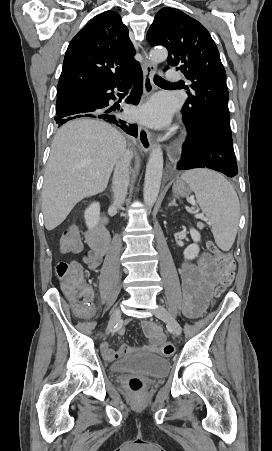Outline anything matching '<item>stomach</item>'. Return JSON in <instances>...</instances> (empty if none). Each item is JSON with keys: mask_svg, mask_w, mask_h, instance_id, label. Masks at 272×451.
Returning a JSON list of instances; mask_svg holds the SVG:
<instances>
[{"mask_svg": "<svg viewBox=\"0 0 272 451\" xmlns=\"http://www.w3.org/2000/svg\"><path fill=\"white\" fill-rule=\"evenodd\" d=\"M173 194L174 196H188V194H191V190L190 188H187L185 182L177 180V182L173 184Z\"/></svg>", "mask_w": 272, "mask_h": 451, "instance_id": "obj_1", "label": "stomach"}]
</instances>
